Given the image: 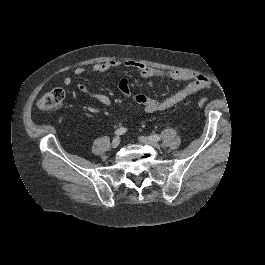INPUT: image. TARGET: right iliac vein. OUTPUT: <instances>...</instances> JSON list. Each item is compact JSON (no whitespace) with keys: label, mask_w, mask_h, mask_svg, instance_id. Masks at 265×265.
I'll list each match as a JSON object with an SVG mask.
<instances>
[{"label":"right iliac vein","mask_w":265,"mask_h":265,"mask_svg":"<svg viewBox=\"0 0 265 265\" xmlns=\"http://www.w3.org/2000/svg\"><path fill=\"white\" fill-rule=\"evenodd\" d=\"M119 144H120V138L117 136L113 139L111 145L113 148H117L119 146Z\"/></svg>","instance_id":"1"}]
</instances>
